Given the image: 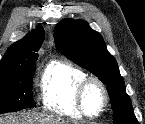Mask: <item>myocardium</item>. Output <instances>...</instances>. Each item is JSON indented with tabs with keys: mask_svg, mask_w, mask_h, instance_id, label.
Here are the masks:
<instances>
[{
	"mask_svg": "<svg viewBox=\"0 0 145 124\" xmlns=\"http://www.w3.org/2000/svg\"><path fill=\"white\" fill-rule=\"evenodd\" d=\"M92 85L97 86L103 95L102 105H101L99 111L95 114L88 113V111L86 110V106H85V95H86L88 88ZM76 102H77V107H78L80 113L82 114V116H84L86 118H90V119L98 118L99 116H101L103 114V112L105 111V109L109 103V93L106 88V85L97 77L87 76L79 83V85L77 87Z\"/></svg>",
	"mask_w": 145,
	"mask_h": 124,
	"instance_id": "obj_1",
	"label": "myocardium"
}]
</instances>
